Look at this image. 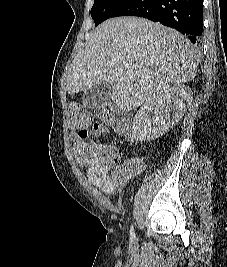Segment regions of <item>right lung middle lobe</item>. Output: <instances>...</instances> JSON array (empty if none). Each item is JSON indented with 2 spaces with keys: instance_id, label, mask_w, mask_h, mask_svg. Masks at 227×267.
Segmentation results:
<instances>
[{
  "instance_id": "obj_1",
  "label": "right lung middle lobe",
  "mask_w": 227,
  "mask_h": 267,
  "mask_svg": "<svg viewBox=\"0 0 227 267\" xmlns=\"http://www.w3.org/2000/svg\"><path fill=\"white\" fill-rule=\"evenodd\" d=\"M129 0H94L91 8V16L95 25H99L104 20L113 17Z\"/></svg>"
}]
</instances>
